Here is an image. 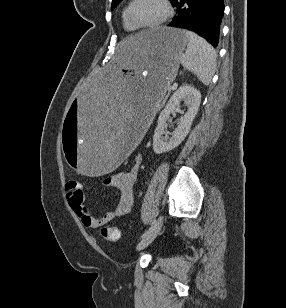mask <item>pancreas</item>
Instances as JSON below:
<instances>
[{"mask_svg": "<svg viewBox=\"0 0 286 308\" xmlns=\"http://www.w3.org/2000/svg\"><path fill=\"white\" fill-rule=\"evenodd\" d=\"M161 101H162V100H161ZM161 101H160V102H161ZM160 102H157V105H158Z\"/></svg>", "mask_w": 286, "mask_h": 308, "instance_id": "obj_1", "label": "pancreas"}]
</instances>
